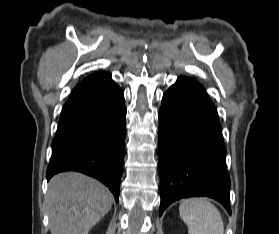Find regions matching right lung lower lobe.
<instances>
[{
	"mask_svg": "<svg viewBox=\"0 0 279 234\" xmlns=\"http://www.w3.org/2000/svg\"><path fill=\"white\" fill-rule=\"evenodd\" d=\"M126 108L121 88L108 72L79 82L64 105L47 169V180L79 171L104 183L119 200Z\"/></svg>",
	"mask_w": 279,
	"mask_h": 234,
	"instance_id": "98d812e1",
	"label": "right lung lower lobe"
}]
</instances>
